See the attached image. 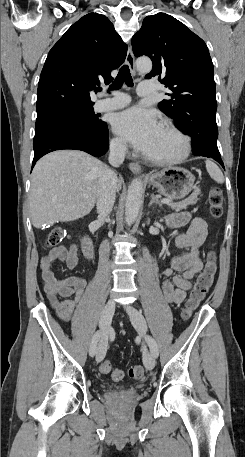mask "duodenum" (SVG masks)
<instances>
[{
  "label": "duodenum",
  "instance_id": "duodenum-1",
  "mask_svg": "<svg viewBox=\"0 0 245 457\" xmlns=\"http://www.w3.org/2000/svg\"><path fill=\"white\" fill-rule=\"evenodd\" d=\"M83 251L88 259H92L94 255L93 242L89 237H85L83 240Z\"/></svg>",
  "mask_w": 245,
  "mask_h": 457
}]
</instances>
